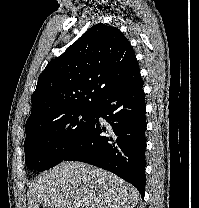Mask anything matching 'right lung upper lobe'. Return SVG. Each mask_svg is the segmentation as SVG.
I'll list each match as a JSON object with an SVG mask.
<instances>
[{
  "label": "right lung upper lobe",
  "mask_w": 199,
  "mask_h": 208,
  "mask_svg": "<svg viewBox=\"0 0 199 208\" xmlns=\"http://www.w3.org/2000/svg\"><path fill=\"white\" fill-rule=\"evenodd\" d=\"M139 76L133 48L121 31L94 25L39 75L26 134L73 110L94 107L106 94Z\"/></svg>",
  "instance_id": "cb5924a9"
}]
</instances>
